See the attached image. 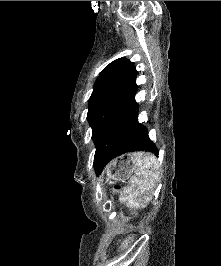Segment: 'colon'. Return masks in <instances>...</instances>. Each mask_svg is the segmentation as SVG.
Returning <instances> with one entry per match:
<instances>
[{"instance_id": "colon-1", "label": "colon", "mask_w": 221, "mask_h": 266, "mask_svg": "<svg viewBox=\"0 0 221 266\" xmlns=\"http://www.w3.org/2000/svg\"><path fill=\"white\" fill-rule=\"evenodd\" d=\"M120 190V186H115L114 187V191H119ZM133 242V237L130 236V237H127L121 244L120 246V250H125L126 248H128L131 243Z\"/></svg>"}]
</instances>
